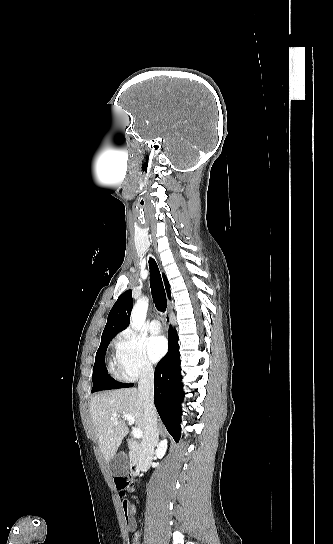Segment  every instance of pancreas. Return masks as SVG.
Masks as SVG:
<instances>
[{
  "mask_svg": "<svg viewBox=\"0 0 333 544\" xmlns=\"http://www.w3.org/2000/svg\"><path fill=\"white\" fill-rule=\"evenodd\" d=\"M129 454H130V457H134V453L132 451Z\"/></svg>",
  "mask_w": 333,
  "mask_h": 544,
  "instance_id": "1",
  "label": "pancreas"
}]
</instances>
